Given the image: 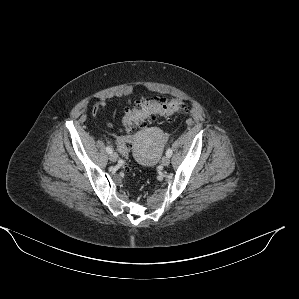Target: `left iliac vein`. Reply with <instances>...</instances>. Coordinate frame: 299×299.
I'll list each match as a JSON object with an SVG mask.
<instances>
[{
  "mask_svg": "<svg viewBox=\"0 0 299 299\" xmlns=\"http://www.w3.org/2000/svg\"><path fill=\"white\" fill-rule=\"evenodd\" d=\"M161 162H162V165H164V166H168V165L170 164V157H168V156H164V157L162 158Z\"/></svg>",
  "mask_w": 299,
  "mask_h": 299,
  "instance_id": "4c4485c4",
  "label": "left iliac vein"
}]
</instances>
